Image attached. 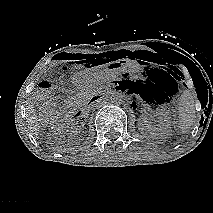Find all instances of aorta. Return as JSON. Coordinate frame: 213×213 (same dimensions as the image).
<instances>
[{
  "mask_svg": "<svg viewBox=\"0 0 213 213\" xmlns=\"http://www.w3.org/2000/svg\"><path fill=\"white\" fill-rule=\"evenodd\" d=\"M108 99L113 105L119 106L124 102V95L120 92H113Z\"/></svg>",
  "mask_w": 213,
  "mask_h": 213,
  "instance_id": "aorta-1",
  "label": "aorta"
}]
</instances>
